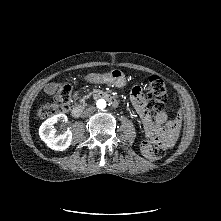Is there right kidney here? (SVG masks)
<instances>
[{
	"label": "right kidney",
	"instance_id": "1",
	"mask_svg": "<svg viewBox=\"0 0 221 221\" xmlns=\"http://www.w3.org/2000/svg\"><path fill=\"white\" fill-rule=\"evenodd\" d=\"M67 121L68 119L65 114H57L42 123L39 128V136L49 148L56 151H64L70 146L72 132L66 130L59 134L54 128V124L58 122L66 123Z\"/></svg>",
	"mask_w": 221,
	"mask_h": 221
}]
</instances>
